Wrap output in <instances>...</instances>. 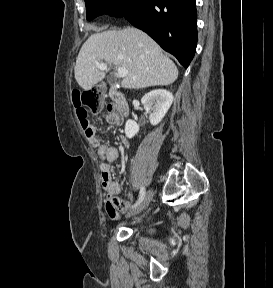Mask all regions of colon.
Returning a JSON list of instances; mask_svg holds the SVG:
<instances>
[{
    "label": "colon",
    "mask_w": 273,
    "mask_h": 288,
    "mask_svg": "<svg viewBox=\"0 0 273 288\" xmlns=\"http://www.w3.org/2000/svg\"><path fill=\"white\" fill-rule=\"evenodd\" d=\"M72 102L83 129H87L90 126V114L100 112L103 107L100 91L96 88L85 91L74 90Z\"/></svg>",
    "instance_id": "colon-1"
}]
</instances>
